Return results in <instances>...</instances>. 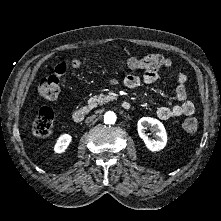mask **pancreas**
Masks as SVG:
<instances>
[{"instance_id": "cf45deb5", "label": "pancreas", "mask_w": 221, "mask_h": 221, "mask_svg": "<svg viewBox=\"0 0 221 221\" xmlns=\"http://www.w3.org/2000/svg\"><path fill=\"white\" fill-rule=\"evenodd\" d=\"M114 97L110 95H105V94H100V95H95L88 100V107L89 109H93L97 105H102L104 103H107L111 100H113Z\"/></svg>"}]
</instances>
